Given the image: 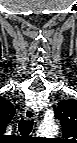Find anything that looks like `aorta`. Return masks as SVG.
<instances>
[{
  "label": "aorta",
  "mask_w": 77,
  "mask_h": 143,
  "mask_svg": "<svg viewBox=\"0 0 77 143\" xmlns=\"http://www.w3.org/2000/svg\"><path fill=\"white\" fill-rule=\"evenodd\" d=\"M38 133L47 137L55 136L58 133V126L54 121L44 122L39 127Z\"/></svg>",
  "instance_id": "1"
}]
</instances>
